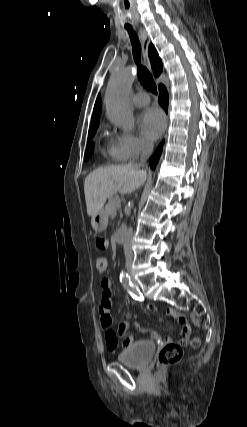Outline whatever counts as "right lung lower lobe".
I'll return each mask as SVG.
<instances>
[{
  "instance_id": "obj_1",
  "label": "right lung lower lobe",
  "mask_w": 247,
  "mask_h": 427,
  "mask_svg": "<svg viewBox=\"0 0 247 427\" xmlns=\"http://www.w3.org/2000/svg\"><path fill=\"white\" fill-rule=\"evenodd\" d=\"M159 90H160L159 103L164 108V110L167 112V109H168V93H167V90L163 85L159 86ZM162 146H163V142L159 145V147L155 151L154 155L150 159V167L152 169H155V167L158 163L159 157H160L161 152H162Z\"/></svg>"
}]
</instances>
